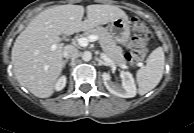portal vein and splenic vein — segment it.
Returning <instances> with one entry per match:
<instances>
[{
	"label": "portal vein and splenic vein",
	"instance_id": "1",
	"mask_svg": "<svg viewBox=\"0 0 194 133\" xmlns=\"http://www.w3.org/2000/svg\"><path fill=\"white\" fill-rule=\"evenodd\" d=\"M98 40V36L96 35H90L88 37H82L78 39V44L82 47H86L89 42H94ZM56 49V45H52L51 46V50H55Z\"/></svg>",
	"mask_w": 194,
	"mask_h": 133
}]
</instances>
